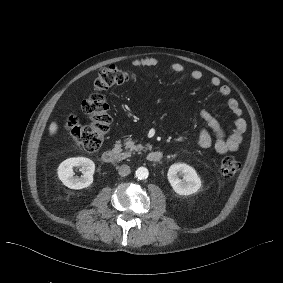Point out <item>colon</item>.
Segmentation results:
<instances>
[{"label":"colon","mask_w":283,"mask_h":283,"mask_svg":"<svg viewBox=\"0 0 283 283\" xmlns=\"http://www.w3.org/2000/svg\"><path fill=\"white\" fill-rule=\"evenodd\" d=\"M133 78L131 73L114 65L98 72L94 80L93 92L82 102V109L88 116L89 123L82 125L74 116H69L66 120V128L77 148L88 152L100 148L111 124L109 104L103 92L127 83ZM239 169L240 163L235 158L227 156L222 159L220 172L224 177L234 176Z\"/></svg>","instance_id":"colon-1"}]
</instances>
